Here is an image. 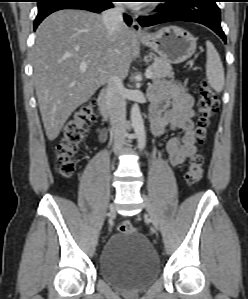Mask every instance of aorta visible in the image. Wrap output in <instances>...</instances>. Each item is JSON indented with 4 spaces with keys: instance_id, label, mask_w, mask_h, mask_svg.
I'll use <instances>...</instances> for the list:
<instances>
[{
    "instance_id": "obj_1",
    "label": "aorta",
    "mask_w": 248,
    "mask_h": 299,
    "mask_svg": "<svg viewBox=\"0 0 248 299\" xmlns=\"http://www.w3.org/2000/svg\"><path fill=\"white\" fill-rule=\"evenodd\" d=\"M130 117H131L132 127L134 129V132L137 135L138 148L142 150L146 145V132H145L144 121L141 116L140 108L137 103L133 104L130 112Z\"/></svg>"
}]
</instances>
